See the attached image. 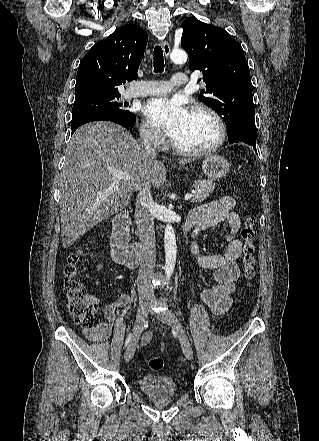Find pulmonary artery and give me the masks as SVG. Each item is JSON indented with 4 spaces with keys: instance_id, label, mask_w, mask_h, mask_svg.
Here are the masks:
<instances>
[{
    "instance_id": "1",
    "label": "pulmonary artery",
    "mask_w": 319,
    "mask_h": 441,
    "mask_svg": "<svg viewBox=\"0 0 319 441\" xmlns=\"http://www.w3.org/2000/svg\"><path fill=\"white\" fill-rule=\"evenodd\" d=\"M189 82L188 77L184 73L175 74L171 81L153 80L145 81L138 84L136 87L129 89L125 95L128 98L160 95L170 92L175 86H185Z\"/></svg>"
}]
</instances>
